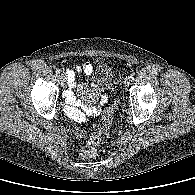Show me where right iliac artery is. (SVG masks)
Wrapping results in <instances>:
<instances>
[{"label":"right iliac artery","instance_id":"obj_1","mask_svg":"<svg viewBox=\"0 0 195 195\" xmlns=\"http://www.w3.org/2000/svg\"><path fill=\"white\" fill-rule=\"evenodd\" d=\"M55 72H56V74H58V75L61 73V71H60L59 69H57Z\"/></svg>","mask_w":195,"mask_h":195}]
</instances>
